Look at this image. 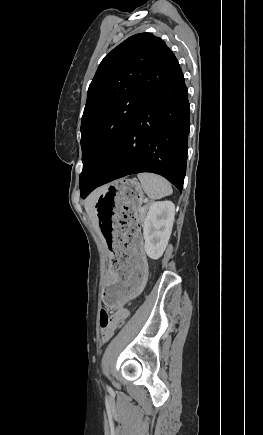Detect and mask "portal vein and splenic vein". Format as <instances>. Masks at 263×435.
I'll return each mask as SVG.
<instances>
[{"mask_svg":"<svg viewBox=\"0 0 263 435\" xmlns=\"http://www.w3.org/2000/svg\"><path fill=\"white\" fill-rule=\"evenodd\" d=\"M139 211H140V212L144 211V207H141V208L139 209Z\"/></svg>","mask_w":263,"mask_h":435,"instance_id":"1","label":"portal vein and splenic vein"}]
</instances>
